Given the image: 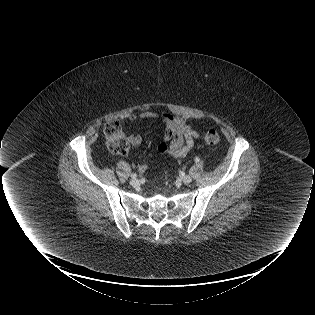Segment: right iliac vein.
<instances>
[{"mask_svg":"<svg viewBox=\"0 0 315 315\" xmlns=\"http://www.w3.org/2000/svg\"><path fill=\"white\" fill-rule=\"evenodd\" d=\"M140 181L138 179H132L130 181V185H132L133 187L139 185Z\"/></svg>","mask_w":315,"mask_h":315,"instance_id":"1","label":"right iliac vein"}]
</instances>
